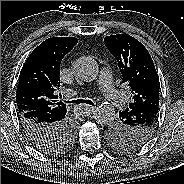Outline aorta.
<instances>
[{"instance_id":"762f6f07","label":"aorta","mask_w":184,"mask_h":184,"mask_svg":"<svg viewBox=\"0 0 184 184\" xmlns=\"http://www.w3.org/2000/svg\"><path fill=\"white\" fill-rule=\"evenodd\" d=\"M75 76L84 82L94 81L99 73L97 63L91 57H80L73 65ZM115 118V109L109 103L100 104L94 113V119L101 126L109 125Z\"/></svg>"}]
</instances>
